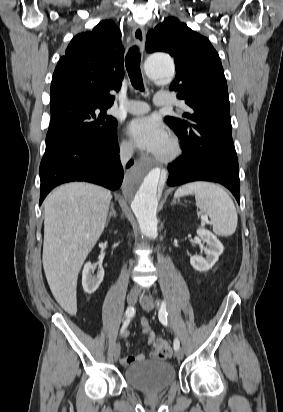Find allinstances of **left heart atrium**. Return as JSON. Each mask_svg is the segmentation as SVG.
Masks as SVG:
<instances>
[{
  "mask_svg": "<svg viewBox=\"0 0 283 412\" xmlns=\"http://www.w3.org/2000/svg\"><path fill=\"white\" fill-rule=\"evenodd\" d=\"M127 132L140 149L153 154H157L168 141L164 125L154 116L132 120Z\"/></svg>",
  "mask_w": 283,
  "mask_h": 412,
  "instance_id": "1",
  "label": "left heart atrium"
}]
</instances>
